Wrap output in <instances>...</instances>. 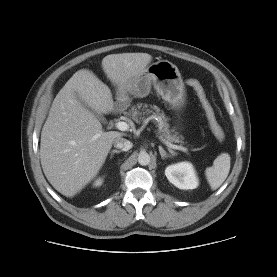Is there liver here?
Masks as SVG:
<instances>
[{
    "label": "liver",
    "instance_id": "obj_1",
    "mask_svg": "<svg viewBox=\"0 0 277 277\" xmlns=\"http://www.w3.org/2000/svg\"><path fill=\"white\" fill-rule=\"evenodd\" d=\"M151 60L147 53L111 54L103 58L102 68L114 85L124 89ZM78 97L98 114L114 109L109 87L87 69L78 70L56 95L41 132L40 160L49 183L67 197L96 177L114 140L123 136L104 132Z\"/></svg>",
    "mask_w": 277,
    "mask_h": 277
}]
</instances>
